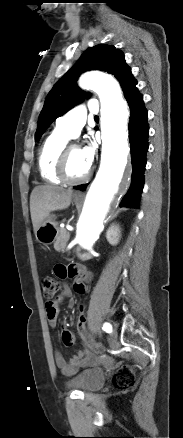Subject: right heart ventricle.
I'll return each mask as SVG.
<instances>
[{
	"label": "right heart ventricle",
	"mask_w": 183,
	"mask_h": 438,
	"mask_svg": "<svg viewBox=\"0 0 183 438\" xmlns=\"http://www.w3.org/2000/svg\"><path fill=\"white\" fill-rule=\"evenodd\" d=\"M68 136L54 129L43 142L38 154V168L44 181L50 184H60L56 175V165L60 152L66 145Z\"/></svg>",
	"instance_id": "1"
}]
</instances>
